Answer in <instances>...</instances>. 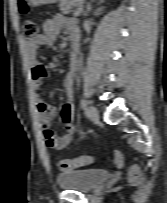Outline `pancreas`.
<instances>
[{
  "label": "pancreas",
  "mask_w": 167,
  "mask_h": 203,
  "mask_svg": "<svg viewBox=\"0 0 167 203\" xmlns=\"http://www.w3.org/2000/svg\"><path fill=\"white\" fill-rule=\"evenodd\" d=\"M60 11L63 14L72 13L75 15L77 12H81L83 9V4L85 0H60Z\"/></svg>",
  "instance_id": "cf45deb5"
}]
</instances>
